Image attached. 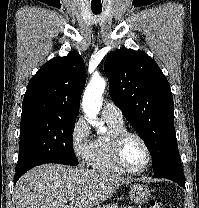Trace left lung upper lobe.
<instances>
[{
    "instance_id": "5c2ea615",
    "label": "left lung upper lobe",
    "mask_w": 199,
    "mask_h": 208,
    "mask_svg": "<svg viewBox=\"0 0 199 208\" xmlns=\"http://www.w3.org/2000/svg\"><path fill=\"white\" fill-rule=\"evenodd\" d=\"M110 96L147 144L153 169L178 152L169 83L143 51L120 49L104 63Z\"/></svg>"
}]
</instances>
